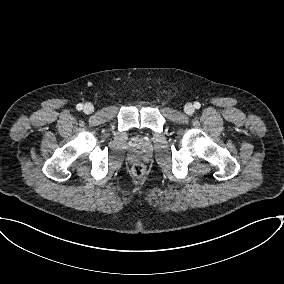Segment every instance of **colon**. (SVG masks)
<instances>
[{"mask_svg":"<svg viewBox=\"0 0 284 284\" xmlns=\"http://www.w3.org/2000/svg\"><path fill=\"white\" fill-rule=\"evenodd\" d=\"M132 172L137 177H142L146 172V167L142 163H135L132 167Z\"/></svg>","mask_w":284,"mask_h":284,"instance_id":"obj_1","label":"colon"}]
</instances>
